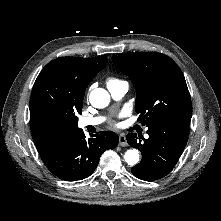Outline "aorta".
Instances as JSON below:
<instances>
[{
	"label": "aorta",
	"mask_w": 221,
	"mask_h": 221,
	"mask_svg": "<svg viewBox=\"0 0 221 221\" xmlns=\"http://www.w3.org/2000/svg\"><path fill=\"white\" fill-rule=\"evenodd\" d=\"M90 103L95 108H105L110 102L109 93L103 88H97L91 91L89 96ZM125 162L128 165H135L139 161V152L136 149L127 150L124 154Z\"/></svg>",
	"instance_id": "762f6f07"
}]
</instances>
